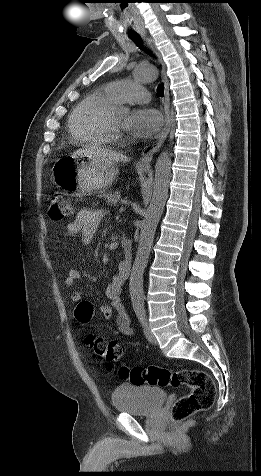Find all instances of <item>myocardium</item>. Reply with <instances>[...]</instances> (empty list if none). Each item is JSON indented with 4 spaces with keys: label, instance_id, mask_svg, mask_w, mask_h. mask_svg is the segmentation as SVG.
I'll return each mask as SVG.
<instances>
[{
    "label": "myocardium",
    "instance_id": "obj_1",
    "mask_svg": "<svg viewBox=\"0 0 261 476\" xmlns=\"http://www.w3.org/2000/svg\"><path fill=\"white\" fill-rule=\"evenodd\" d=\"M108 125H109L110 129L113 130L114 132H117V131L121 130V126L117 125L114 122L112 114H110V116L108 118Z\"/></svg>",
    "mask_w": 261,
    "mask_h": 476
}]
</instances>
